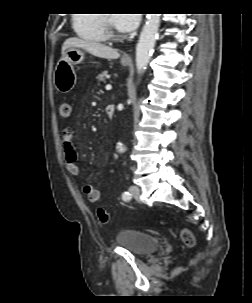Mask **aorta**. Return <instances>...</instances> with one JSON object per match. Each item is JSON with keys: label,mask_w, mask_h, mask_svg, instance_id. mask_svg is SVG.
Segmentation results:
<instances>
[{"label": "aorta", "mask_w": 252, "mask_h": 303, "mask_svg": "<svg viewBox=\"0 0 252 303\" xmlns=\"http://www.w3.org/2000/svg\"><path fill=\"white\" fill-rule=\"evenodd\" d=\"M159 24L160 14H147L145 25L136 46V69L138 74L143 73L150 61L158 36ZM125 150L121 143L117 145L119 153H123Z\"/></svg>", "instance_id": "762f6f07"}]
</instances>
